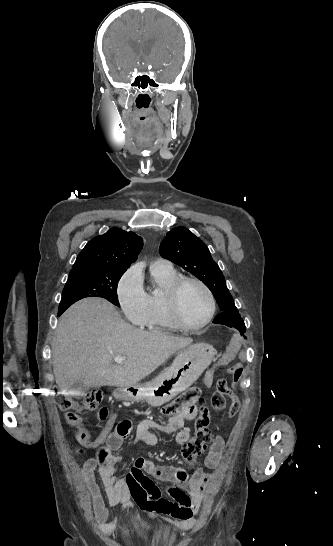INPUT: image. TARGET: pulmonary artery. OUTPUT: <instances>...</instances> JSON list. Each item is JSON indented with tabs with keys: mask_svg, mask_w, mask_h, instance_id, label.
Returning <instances> with one entry per match:
<instances>
[{
	"mask_svg": "<svg viewBox=\"0 0 333 546\" xmlns=\"http://www.w3.org/2000/svg\"><path fill=\"white\" fill-rule=\"evenodd\" d=\"M151 269H171L172 268V264L170 261L166 260V259H163V258H158L156 259L154 262H152L151 264Z\"/></svg>",
	"mask_w": 333,
	"mask_h": 546,
	"instance_id": "obj_1",
	"label": "pulmonary artery"
}]
</instances>
